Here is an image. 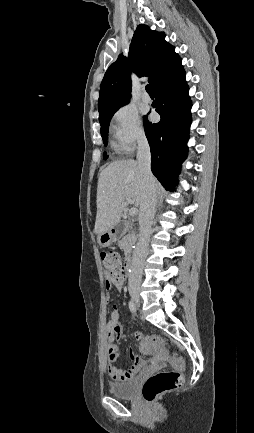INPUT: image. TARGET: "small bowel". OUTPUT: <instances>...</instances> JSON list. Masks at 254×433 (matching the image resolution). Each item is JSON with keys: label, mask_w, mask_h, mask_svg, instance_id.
<instances>
[{"label": "small bowel", "mask_w": 254, "mask_h": 433, "mask_svg": "<svg viewBox=\"0 0 254 433\" xmlns=\"http://www.w3.org/2000/svg\"><path fill=\"white\" fill-rule=\"evenodd\" d=\"M125 285V278L120 280L107 279L106 287L107 289H111L115 287L117 290H122ZM122 325L120 323V314L118 309L115 307L112 311L108 322L106 323V334L109 340L113 339L115 336L121 334ZM133 337L137 340L143 341L144 336L142 332L135 331L133 333ZM107 358L109 360V365L107 367V371L111 379L116 381H125L133 378L142 368L144 364V360L141 356L134 354L132 350H130V357L132 360V365L129 369L123 370L119 368L114 362L117 359V350L118 346L113 342H108L105 346ZM154 365L161 363V359H154L152 361Z\"/></svg>", "instance_id": "obj_1"}]
</instances>
